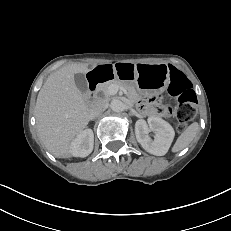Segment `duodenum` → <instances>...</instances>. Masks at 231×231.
I'll use <instances>...</instances> for the list:
<instances>
[{"mask_svg": "<svg viewBox=\"0 0 231 231\" xmlns=\"http://www.w3.org/2000/svg\"><path fill=\"white\" fill-rule=\"evenodd\" d=\"M106 70L105 68H101L95 72H93V74L90 75L89 78V87H90V99L92 100L95 97V93H96V88L99 82H101L105 76H106Z\"/></svg>", "mask_w": 231, "mask_h": 231, "instance_id": "duodenum-1", "label": "duodenum"}]
</instances>
